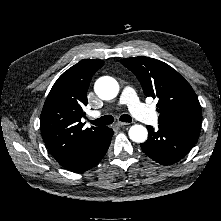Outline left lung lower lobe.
Here are the masks:
<instances>
[{"label": "left lung lower lobe", "mask_w": 221, "mask_h": 221, "mask_svg": "<svg viewBox=\"0 0 221 221\" xmlns=\"http://www.w3.org/2000/svg\"><path fill=\"white\" fill-rule=\"evenodd\" d=\"M148 140L140 146L156 162L168 165L182 159L195 145L199 130L159 125L158 130L147 126Z\"/></svg>", "instance_id": "left-lung-lower-lobe-1"}]
</instances>
